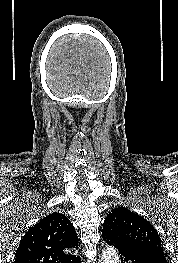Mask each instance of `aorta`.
Instances as JSON below:
<instances>
[{"label":"aorta","mask_w":178,"mask_h":263,"mask_svg":"<svg viewBox=\"0 0 178 263\" xmlns=\"http://www.w3.org/2000/svg\"><path fill=\"white\" fill-rule=\"evenodd\" d=\"M99 263H120L119 253L114 247L107 246L102 251Z\"/></svg>","instance_id":"762f6f07"}]
</instances>
